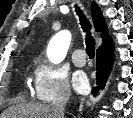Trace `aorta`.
<instances>
[{
  "mask_svg": "<svg viewBox=\"0 0 133 118\" xmlns=\"http://www.w3.org/2000/svg\"><path fill=\"white\" fill-rule=\"evenodd\" d=\"M71 42V33L67 30L57 33L53 40L52 50L48 53V57L53 63H60L66 56Z\"/></svg>",
  "mask_w": 133,
  "mask_h": 118,
  "instance_id": "obj_1",
  "label": "aorta"
}]
</instances>
